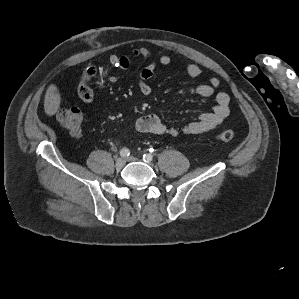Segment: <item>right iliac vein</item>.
Wrapping results in <instances>:
<instances>
[{
  "label": "right iliac vein",
  "mask_w": 299,
  "mask_h": 299,
  "mask_svg": "<svg viewBox=\"0 0 299 299\" xmlns=\"http://www.w3.org/2000/svg\"><path fill=\"white\" fill-rule=\"evenodd\" d=\"M126 161L124 158H118L115 163L116 169H122L125 165Z\"/></svg>",
  "instance_id": "1"
}]
</instances>
